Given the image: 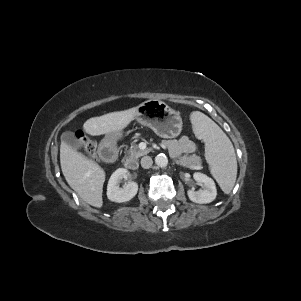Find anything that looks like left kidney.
Listing matches in <instances>:
<instances>
[{
	"label": "left kidney",
	"mask_w": 301,
	"mask_h": 301,
	"mask_svg": "<svg viewBox=\"0 0 301 301\" xmlns=\"http://www.w3.org/2000/svg\"><path fill=\"white\" fill-rule=\"evenodd\" d=\"M196 182L202 184V189L198 191L188 190V197L194 203L206 204L215 200L217 190L212 178L203 173L193 175Z\"/></svg>",
	"instance_id": "obj_1"
}]
</instances>
